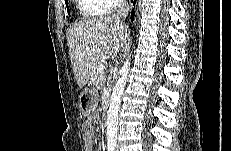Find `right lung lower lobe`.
<instances>
[{"mask_svg":"<svg viewBox=\"0 0 231 151\" xmlns=\"http://www.w3.org/2000/svg\"><path fill=\"white\" fill-rule=\"evenodd\" d=\"M135 2H136V0H134V4H135ZM134 15H135V12H134V10H133V11H132V15H131V21L134 20Z\"/></svg>","mask_w":231,"mask_h":151,"instance_id":"obj_1","label":"right lung lower lobe"}]
</instances>
